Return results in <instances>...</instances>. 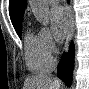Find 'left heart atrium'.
<instances>
[{"instance_id":"obj_1","label":"left heart atrium","mask_w":89,"mask_h":89,"mask_svg":"<svg viewBox=\"0 0 89 89\" xmlns=\"http://www.w3.org/2000/svg\"><path fill=\"white\" fill-rule=\"evenodd\" d=\"M53 33L58 40H62L68 29V17L61 6H55L50 13Z\"/></svg>"}]
</instances>
